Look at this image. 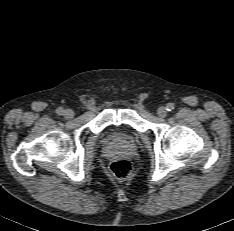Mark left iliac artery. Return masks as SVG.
I'll use <instances>...</instances> for the list:
<instances>
[{"label":"left iliac artery","instance_id":"left-iliac-artery-1","mask_svg":"<svg viewBox=\"0 0 234 231\" xmlns=\"http://www.w3.org/2000/svg\"><path fill=\"white\" fill-rule=\"evenodd\" d=\"M174 109V106L172 105V104H169L168 106H167V110L168 111H171V110H173Z\"/></svg>","mask_w":234,"mask_h":231}]
</instances>
